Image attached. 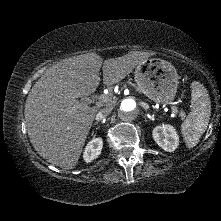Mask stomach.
Segmentation results:
<instances>
[{
	"label": "stomach",
	"instance_id": "1",
	"mask_svg": "<svg viewBox=\"0 0 221 221\" xmlns=\"http://www.w3.org/2000/svg\"><path fill=\"white\" fill-rule=\"evenodd\" d=\"M179 76L176 68L160 58H148L135 70V82L142 93L157 103L171 102L177 92Z\"/></svg>",
	"mask_w": 221,
	"mask_h": 221
}]
</instances>
